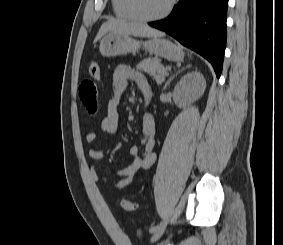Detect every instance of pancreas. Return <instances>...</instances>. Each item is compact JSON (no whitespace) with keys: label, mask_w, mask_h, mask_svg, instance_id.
<instances>
[{"label":"pancreas","mask_w":283,"mask_h":245,"mask_svg":"<svg viewBox=\"0 0 283 245\" xmlns=\"http://www.w3.org/2000/svg\"><path fill=\"white\" fill-rule=\"evenodd\" d=\"M136 68L139 71L147 72L153 76L158 84H161L164 81L167 73V68L160 63L158 58H146L142 60Z\"/></svg>","instance_id":"obj_1"}]
</instances>
